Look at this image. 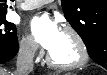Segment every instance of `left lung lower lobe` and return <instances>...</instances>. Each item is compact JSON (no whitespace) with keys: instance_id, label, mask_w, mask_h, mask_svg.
<instances>
[{"instance_id":"0a47b994","label":"left lung lower lobe","mask_w":107,"mask_h":75,"mask_svg":"<svg viewBox=\"0 0 107 75\" xmlns=\"http://www.w3.org/2000/svg\"><path fill=\"white\" fill-rule=\"evenodd\" d=\"M90 55V54H89ZM90 57L98 64L107 69V46L102 45L101 48L96 49L94 53L90 55Z\"/></svg>"}]
</instances>
